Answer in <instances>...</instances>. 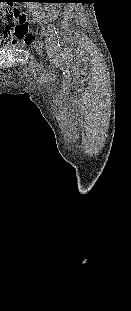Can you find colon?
Masks as SVG:
<instances>
[{"label": "colon", "mask_w": 131, "mask_h": 311, "mask_svg": "<svg viewBox=\"0 0 131 311\" xmlns=\"http://www.w3.org/2000/svg\"><path fill=\"white\" fill-rule=\"evenodd\" d=\"M7 26V38H10V33L18 26H23L28 29L29 22L26 16L19 9L5 8L0 5V32L4 26Z\"/></svg>", "instance_id": "5ec220e1"}]
</instances>
